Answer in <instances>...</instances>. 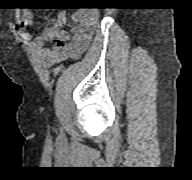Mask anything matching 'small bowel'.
Wrapping results in <instances>:
<instances>
[{"instance_id": "c3829d8e", "label": "small bowel", "mask_w": 192, "mask_h": 180, "mask_svg": "<svg viewBox=\"0 0 192 180\" xmlns=\"http://www.w3.org/2000/svg\"><path fill=\"white\" fill-rule=\"evenodd\" d=\"M22 17L26 25L32 23L33 14L31 11L24 10ZM71 18L75 26L67 30L64 28L66 13L59 12L51 20L50 26L34 38L31 44L33 51L46 61H60L80 57L90 45L98 21V14L96 11L78 10L72 14ZM22 38L30 40L31 35L28 32H23ZM52 40H55L56 44L51 48H47L46 43Z\"/></svg>"}]
</instances>
